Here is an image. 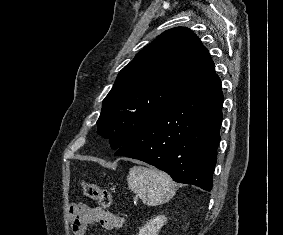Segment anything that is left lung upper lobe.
I'll list each match as a JSON object with an SVG mask.
<instances>
[{
  "label": "left lung upper lobe",
  "mask_w": 283,
  "mask_h": 235,
  "mask_svg": "<svg viewBox=\"0 0 283 235\" xmlns=\"http://www.w3.org/2000/svg\"><path fill=\"white\" fill-rule=\"evenodd\" d=\"M214 75L200 39L185 27L169 29L120 71L103 100L98 133L118 149Z\"/></svg>",
  "instance_id": "obj_1"
}]
</instances>
